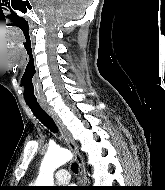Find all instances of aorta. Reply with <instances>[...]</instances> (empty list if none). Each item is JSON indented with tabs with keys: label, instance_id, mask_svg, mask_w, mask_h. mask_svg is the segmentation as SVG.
<instances>
[{
	"label": "aorta",
	"instance_id": "aorta-1",
	"mask_svg": "<svg viewBox=\"0 0 165 190\" xmlns=\"http://www.w3.org/2000/svg\"><path fill=\"white\" fill-rule=\"evenodd\" d=\"M70 151L61 148L49 149L41 163L40 173L37 179V186H53L54 171L71 160Z\"/></svg>",
	"mask_w": 165,
	"mask_h": 190
}]
</instances>
